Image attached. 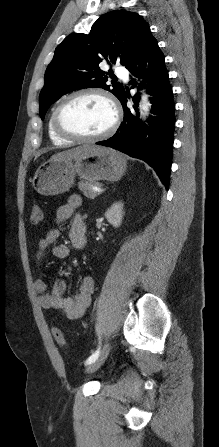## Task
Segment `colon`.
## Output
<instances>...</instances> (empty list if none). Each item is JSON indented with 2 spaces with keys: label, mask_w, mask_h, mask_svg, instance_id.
<instances>
[{
  "label": "colon",
  "mask_w": 219,
  "mask_h": 447,
  "mask_svg": "<svg viewBox=\"0 0 219 447\" xmlns=\"http://www.w3.org/2000/svg\"><path fill=\"white\" fill-rule=\"evenodd\" d=\"M43 219L42 209L39 205H33L31 210L30 220L32 224H39ZM55 341L62 347L66 346V341L63 332L55 327L52 330Z\"/></svg>",
  "instance_id": "5ec220e1"
}]
</instances>
